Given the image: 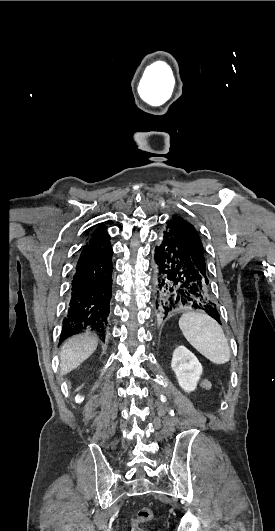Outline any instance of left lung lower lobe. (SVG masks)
Instances as JSON below:
<instances>
[{"label":"left lung lower lobe","instance_id":"0a47b994","mask_svg":"<svg viewBox=\"0 0 275 531\" xmlns=\"http://www.w3.org/2000/svg\"><path fill=\"white\" fill-rule=\"evenodd\" d=\"M154 304L158 319L175 310H200L220 322L217 305L178 232L168 223L153 255Z\"/></svg>","mask_w":275,"mask_h":531}]
</instances>
